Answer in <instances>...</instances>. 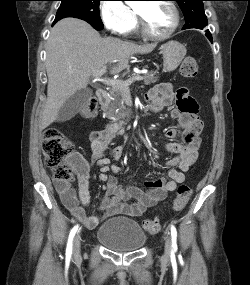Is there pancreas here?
I'll list each match as a JSON object with an SVG mask.
<instances>
[{"instance_id":"1","label":"pancreas","mask_w":250,"mask_h":285,"mask_svg":"<svg viewBox=\"0 0 250 285\" xmlns=\"http://www.w3.org/2000/svg\"><path fill=\"white\" fill-rule=\"evenodd\" d=\"M143 79L145 85H150L158 81V76L155 72H148L143 76ZM124 93L125 90L123 88L111 86L109 91L110 98L102 106L106 116L119 120L128 115L129 111L124 104Z\"/></svg>"}]
</instances>
